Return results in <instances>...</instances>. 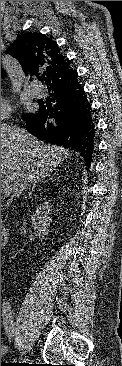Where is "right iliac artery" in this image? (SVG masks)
<instances>
[{"label":"right iliac artery","mask_w":122,"mask_h":366,"mask_svg":"<svg viewBox=\"0 0 122 366\" xmlns=\"http://www.w3.org/2000/svg\"><path fill=\"white\" fill-rule=\"evenodd\" d=\"M2 315H3V325L5 327V331L7 334H9L10 336H14V326H13V321H12V312H11V307L9 305V303L4 302L2 305Z\"/></svg>","instance_id":"1"}]
</instances>
